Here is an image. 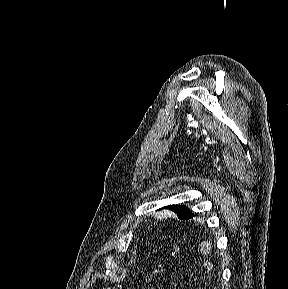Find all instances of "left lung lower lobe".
Instances as JSON below:
<instances>
[{
    "instance_id": "obj_1",
    "label": "left lung lower lobe",
    "mask_w": 288,
    "mask_h": 289,
    "mask_svg": "<svg viewBox=\"0 0 288 289\" xmlns=\"http://www.w3.org/2000/svg\"><path fill=\"white\" fill-rule=\"evenodd\" d=\"M193 217V214H191L189 217H188V219H190V218H192Z\"/></svg>"
}]
</instances>
